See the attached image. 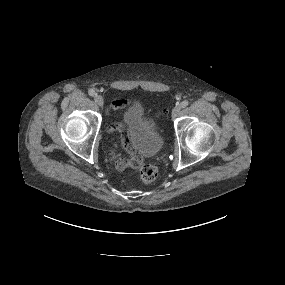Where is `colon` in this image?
<instances>
[{
  "label": "colon",
  "instance_id": "obj_1",
  "mask_svg": "<svg viewBox=\"0 0 285 285\" xmlns=\"http://www.w3.org/2000/svg\"><path fill=\"white\" fill-rule=\"evenodd\" d=\"M115 130L116 131H123L121 129V127H119V126L115 127ZM126 147L128 148L127 145H126ZM128 164L131 167H137L140 164V159L138 157H133L130 160H128ZM140 176L144 182H146V183L152 182L157 177V169L154 165L143 164L140 167Z\"/></svg>",
  "mask_w": 285,
  "mask_h": 285
}]
</instances>
